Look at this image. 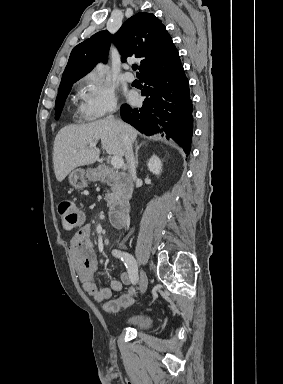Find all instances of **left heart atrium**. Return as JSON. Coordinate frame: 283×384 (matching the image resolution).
I'll return each instance as SVG.
<instances>
[{"instance_id": "obj_1", "label": "left heart atrium", "mask_w": 283, "mask_h": 384, "mask_svg": "<svg viewBox=\"0 0 283 384\" xmlns=\"http://www.w3.org/2000/svg\"><path fill=\"white\" fill-rule=\"evenodd\" d=\"M128 99L130 101H134L136 99V96L133 93L128 94Z\"/></svg>"}]
</instances>
